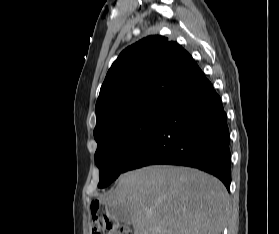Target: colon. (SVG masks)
I'll use <instances>...</instances> for the list:
<instances>
[{
  "label": "colon",
  "mask_w": 279,
  "mask_h": 234,
  "mask_svg": "<svg viewBox=\"0 0 279 234\" xmlns=\"http://www.w3.org/2000/svg\"><path fill=\"white\" fill-rule=\"evenodd\" d=\"M91 211L92 234H133L126 226L114 218L106 207L93 204Z\"/></svg>",
  "instance_id": "colon-1"
}]
</instances>
